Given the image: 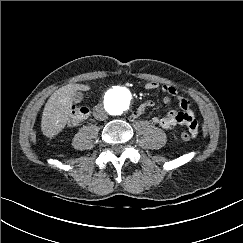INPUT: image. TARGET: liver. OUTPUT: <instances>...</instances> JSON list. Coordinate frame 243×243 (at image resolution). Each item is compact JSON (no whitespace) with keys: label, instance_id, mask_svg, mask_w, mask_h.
Returning a JSON list of instances; mask_svg holds the SVG:
<instances>
[{"label":"liver","instance_id":"6515ba94","mask_svg":"<svg viewBox=\"0 0 243 243\" xmlns=\"http://www.w3.org/2000/svg\"><path fill=\"white\" fill-rule=\"evenodd\" d=\"M81 89L78 84H68L56 90L45 104L41 130L47 137L57 135L66 126L73 105V96Z\"/></svg>","mask_w":243,"mask_h":243}]
</instances>
